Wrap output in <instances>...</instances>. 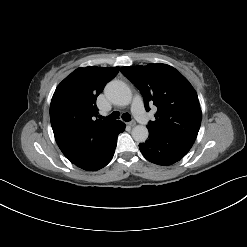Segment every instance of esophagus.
I'll return each instance as SVG.
<instances>
[{"mask_svg": "<svg viewBox=\"0 0 247 247\" xmlns=\"http://www.w3.org/2000/svg\"><path fill=\"white\" fill-rule=\"evenodd\" d=\"M128 125L130 127H134L136 125V122L135 121L128 122Z\"/></svg>", "mask_w": 247, "mask_h": 247, "instance_id": "1", "label": "esophagus"}]
</instances>
